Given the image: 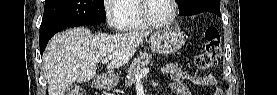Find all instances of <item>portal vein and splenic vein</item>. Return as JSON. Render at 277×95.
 Returning <instances> with one entry per match:
<instances>
[{"mask_svg":"<svg viewBox=\"0 0 277 95\" xmlns=\"http://www.w3.org/2000/svg\"><path fill=\"white\" fill-rule=\"evenodd\" d=\"M111 58L107 57L101 60L102 63H107ZM149 73V68H145L143 70L140 71V73L135 75V79L136 80H140L142 79L145 75H147Z\"/></svg>","mask_w":277,"mask_h":95,"instance_id":"obj_1","label":"portal vein and splenic vein"}]
</instances>
